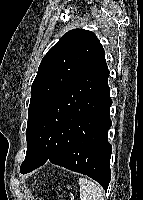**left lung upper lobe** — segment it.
Listing matches in <instances>:
<instances>
[{"mask_svg": "<svg viewBox=\"0 0 143 200\" xmlns=\"http://www.w3.org/2000/svg\"><path fill=\"white\" fill-rule=\"evenodd\" d=\"M102 50L103 47L93 32L73 29L60 38L43 57L31 86L26 129L27 152L20 170L29 164L33 127L39 114Z\"/></svg>", "mask_w": 143, "mask_h": 200, "instance_id": "1", "label": "left lung upper lobe"}]
</instances>
